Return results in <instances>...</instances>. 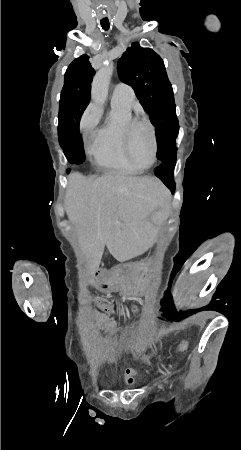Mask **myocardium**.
Returning <instances> with one entry per match:
<instances>
[{
  "label": "myocardium",
  "instance_id": "1",
  "mask_svg": "<svg viewBox=\"0 0 241 450\" xmlns=\"http://www.w3.org/2000/svg\"><path fill=\"white\" fill-rule=\"evenodd\" d=\"M141 120L140 116L137 117H130L127 120H125L121 126V132L122 136H120L119 141L121 144L122 153H125L126 156V162H131V158H133L132 153L128 150L130 145V137H132L135 133H137L134 129H130L131 127H134L135 124H138V121ZM151 125V124H150ZM152 127H158V122H152ZM155 130L151 129L147 131L148 135H155ZM158 141L157 137H148V148L152 149V162H157L158 157V148H155V143ZM147 143V142H146ZM129 151V152H128Z\"/></svg>",
  "mask_w": 241,
  "mask_h": 450
}]
</instances>
